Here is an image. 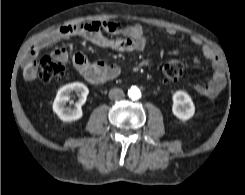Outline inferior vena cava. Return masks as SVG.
<instances>
[{
    "mask_svg": "<svg viewBox=\"0 0 245 195\" xmlns=\"http://www.w3.org/2000/svg\"><path fill=\"white\" fill-rule=\"evenodd\" d=\"M124 96H125V94H124L123 90L119 89V88L111 89L109 92V98L111 100H119V99L124 98Z\"/></svg>",
    "mask_w": 245,
    "mask_h": 195,
    "instance_id": "obj_1",
    "label": "inferior vena cava"
}]
</instances>
